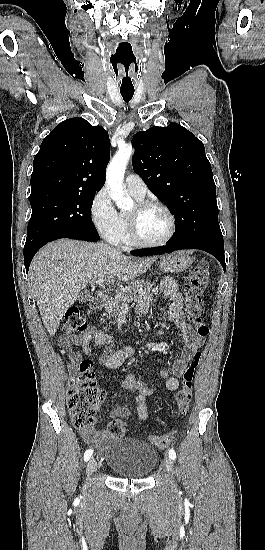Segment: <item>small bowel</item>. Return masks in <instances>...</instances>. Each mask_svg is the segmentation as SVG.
I'll list each match as a JSON object with an SVG mask.
<instances>
[{"mask_svg":"<svg viewBox=\"0 0 265 550\" xmlns=\"http://www.w3.org/2000/svg\"><path fill=\"white\" fill-rule=\"evenodd\" d=\"M161 290L170 301L169 317L175 323L184 342V347L179 357L173 361L171 369H162L160 371V376L166 380L165 387L169 391H176L179 387V379L183 376L187 364L203 346L204 338L195 332L185 321L183 316V294L176 282L170 278L163 280ZM149 308L150 305L148 302L141 303L137 307V313L139 315H146ZM60 342L70 348L69 357L74 363L80 360V354L75 350L76 347H81L86 355H91L93 353L90 342H95L99 346L107 347V350L100 357V362L111 368H118L135 353L134 348L131 346H124L120 349L112 350L109 348V336L104 331L95 328H90L80 335L65 336ZM121 386L134 395V401L137 406V418L141 421L147 420L149 413L146 399L153 396L158 389L153 387L144 375L137 373L125 374ZM129 415L130 411L128 408L119 405L111 410L109 417H127ZM82 435L85 442L97 447L103 445L109 438L105 430H96L93 427H88L83 430Z\"/></svg>","mask_w":265,"mask_h":550,"instance_id":"small-bowel-1","label":"small bowel"}]
</instances>
